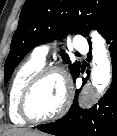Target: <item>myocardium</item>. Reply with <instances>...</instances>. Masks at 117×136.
Segmentation results:
<instances>
[{
  "instance_id": "myocardium-1",
  "label": "myocardium",
  "mask_w": 117,
  "mask_h": 136,
  "mask_svg": "<svg viewBox=\"0 0 117 136\" xmlns=\"http://www.w3.org/2000/svg\"><path fill=\"white\" fill-rule=\"evenodd\" d=\"M50 74L59 75L64 82V99L60 108L51 116L43 118L32 117L27 110L28 99L36 87V85L46 76ZM72 101V89L67 73L59 66H45L37 71L25 85L18 104V113L26 121L30 123H47L60 118L69 108Z\"/></svg>"
}]
</instances>
